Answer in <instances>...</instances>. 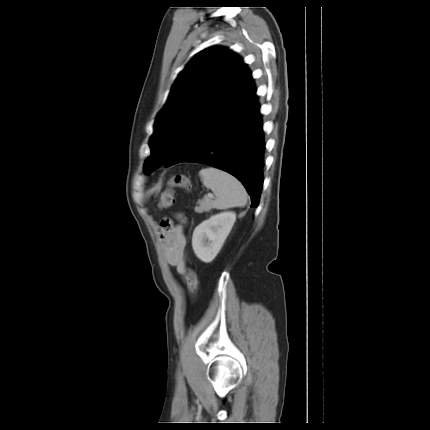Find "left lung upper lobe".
<instances>
[{"label": "left lung upper lobe", "mask_w": 430, "mask_h": 430, "mask_svg": "<svg viewBox=\"0 0 430 430\" xmlns=\"http://www.w3.org/2000/svg\"><path fill=\"white\" fill-rule=\"evenodd\" d=\"M255 92L254 79L236 53L222 47L201 51L180 72L157 116L144 173L167 163L173 151L185 150L203 122L234 115Z\"/></svg>", "instance_id": "1"}]
</instances>
